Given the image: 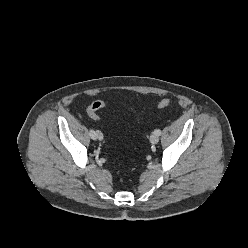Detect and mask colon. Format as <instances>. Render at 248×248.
Here are the masks:
<instances>
[{
	"label": "colon",
	"mask_w": 248,
	"mask_h": 248,
	"mask_svg": "<svg viewBox=\"0 0 248 248\" xmlns=\"http://www.w3.org/2000/svg\"><path fill=\"white\" fill-rule=\"evenodd\" d=\"M171 99L164 98L159 101L157 107L159 109H164L171 104ZM106 106L104 101H95L87 109L89 117L93 120H99L98 111Z\"/></svg>",
	"instance_id": "1"
}]
</instances>
